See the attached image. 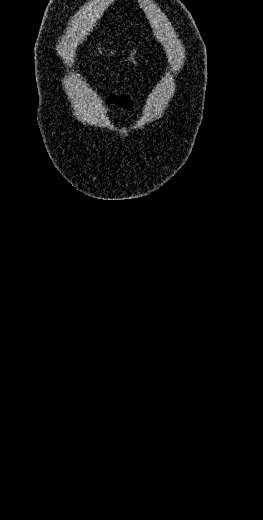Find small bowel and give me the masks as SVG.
Listing matches in <instances>:
<instances>
[{"label": "small bowel", "instance_id": "1", "mask_svg": "<svg viewBox=\"0 0 263 520\" xmlns=\"http://www.w3.org/2000/svg\"><path fill=\"white\" fill-rule=\"evenodd\" d=\"M111 102L115 103L121 108L127 109L132 106V100L129 96L124 94H112L110 96Z\"/></svg>", "mask_w": 263, "mask_h": 520}]
</instances>
